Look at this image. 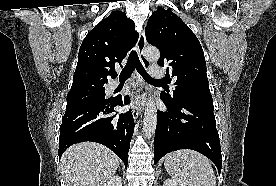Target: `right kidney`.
<instances>
[{
    "instance_id": "right-kidney-1",
    "label": "right kidney",
    "mask_w": 276,
    "mask_h": 186,
    "mask_svg": "<svg viewBox=\"0 0 276 186\" xmlns=\"http://www.w3.org/2000/svg\"><path fill=\"white\" fill-rule=\"evenodd\" d=\"M103 186H122V178L119 175L112 177Z\"/></svg>"
}]
</instances>
